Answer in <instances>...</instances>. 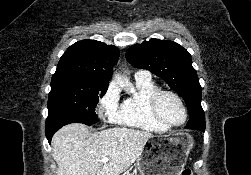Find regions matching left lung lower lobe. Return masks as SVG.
Segmentation results:
<instances>
[{
  "label": "left lung lower lobe",
  "mask_w": 251,
  "mask_h": 175,
  "mask_svg": "<svg viewBox=\"0 0 251 175\" xmlns=\"http://www.w3.org/2000/svg\"><path fill=\"white\" fill-rule=\"evenodd\" d=\"M189 112V121L188 122H195L200 119L205 118L204 111L196 108H188Z\"/></svg>",
  "instance_id": "0a47b994"
}]
</instances>
